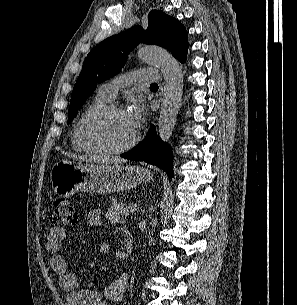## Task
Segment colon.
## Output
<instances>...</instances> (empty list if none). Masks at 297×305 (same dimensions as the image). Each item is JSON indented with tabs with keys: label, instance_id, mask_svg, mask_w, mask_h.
Listing matches in <instances>:
<instances>
[{
	"label": "colon",
	"instance_id": "5ec220e1",
	"mask_svg": "<svg viewBox=\"0 0 297 305\" xmlns=\"http://www.w3.org/2000/svg\"><path fill=\"white\" fill-rule=\"evenodd\" d=\"M51 223L54 227L73 225L77 222V214L74 207L65 199L55 201L51 212Z\"/></svg>",
	"mask_w": 297,
	"mask_h": 305
}]
</instances>
